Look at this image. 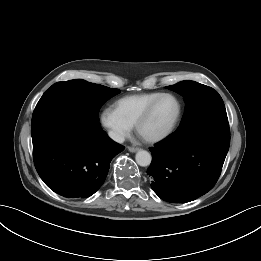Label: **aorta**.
<instances>
[{
    "label": "aorta",
    "instance_id": "aorta-1",
    "mask_svg": "<svg viewBox=\"0 0 261 261\" xmlns=\"http://www.w3.org/2000/svg\"><path fill=\"white\" fill-rule=\"evenodd\" d=\"M135 160L139 166H149L152 160L151 154L146 150H139L136 153Z\"/></svg>",
    "mask_w": 261,
    "mask_h": 261
}]
</instances>
